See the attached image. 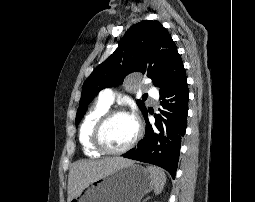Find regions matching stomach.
I'll list each match as a JSON object with an SVG mask.
<instances>
[{"instance_id":"1","label":"stomach","mask_w":255,"mask_h":202,"mask_svg":"<svg viewBox=\"0 0 255 202\" xmlns=\"http://www.w3.org/2000/svg\"><path fill=\"white\" fill-rule=\"evenodd\" d=\"M153 188L149 171L132 163L93 181L71 202H140Z\"/></svg>"}]
</instances>
